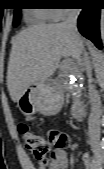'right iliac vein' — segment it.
<instances>
[{"label": "right iliac vein", "mask_w": 104, "mask_h": 169, "mask_svg": "<svg viewBox=\"0 0 104 169\" xmlns=\"http://www.w3.org/2000/svg\"><path fill=\"white\" fill-rule=\"evenodd\" d=\"M92 149H93V152H94V155H95V158H96L98 164L101 165L104 160V152H103L102 148L100 147L99 144H93Z\"/></svg>", "instance_id": "right-iliac-vein-1"}]
</instances>
